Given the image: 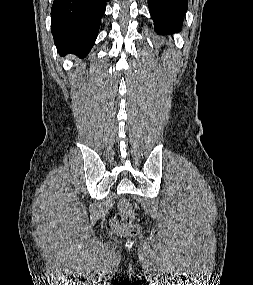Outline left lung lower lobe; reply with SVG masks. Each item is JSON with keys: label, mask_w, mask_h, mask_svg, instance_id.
I'll list each match as a JSON object with an SVG mask.
<instances>
[{"label": "left lung lower lobe", "mask_w": 253, "mask_h": 285, "mask_svg": "<svg viewBox=\"0 0 253 285\" xmlns=\"http://www.w3.org/2000/svg\"><path fill=\"white\" fill-rule=\"evenodd\" d=\"M148 6L158 34L181 30L183 17L188 8L187 0H148Z\"/></svg>", "instance_id": "obj_1"}]
</instances>
